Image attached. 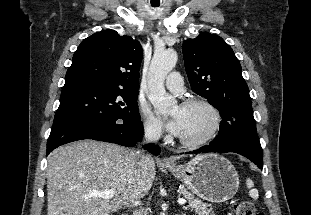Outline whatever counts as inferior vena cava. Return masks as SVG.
I'll return each mask as SVG.
<instances>
[{"label":"inferior vena cava","mask_w":311,"mask_h":215,"mask_svg":"<svg viewBox=\"0 0 311 215\" xmlns=\"http://www.w3.org/2000/svg\"><path fill=\"white\" fill-rule=\"evenodd\" d=\"M160 136V131L152 126H147L144 129V141L143 144L154 142ZM132 157L137 159L139 163L145 164L148 158L144 155L143 150L139 149L132 153Z\"/></svg>","instance_id":"inferior-vena-cava-1"}]
</instances>
